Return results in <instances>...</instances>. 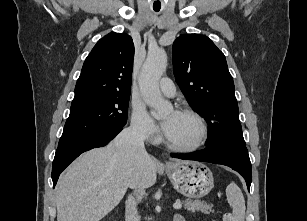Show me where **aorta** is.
I'll return each instance as SVG.
<instances>
[{"mask_svg":"<svg viewBox=\"0 0 307 221\" xmlns=\"http://www.w3.org/2000/svg\"><path fill=\"white\" fill-rule=\"evenodd\" d=\"M166 66V52L162 49L150 50L138 80L142 97L154 109L155 118L163 117L172 109L171 104L163 99L159 89V80L166 71Z\"/></svg>","mask_w":307,"mask_h":221,"instance_id":"1","label":"aorta"}]
</instances>
